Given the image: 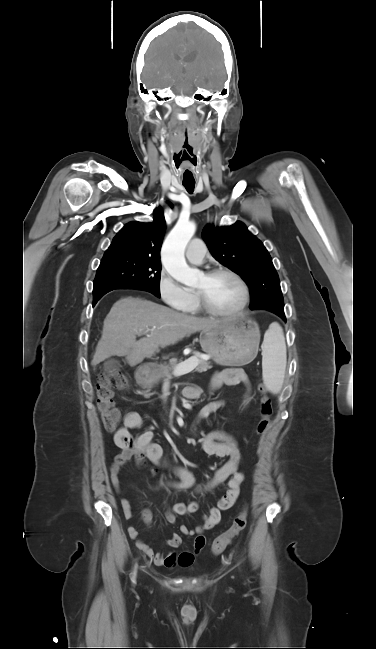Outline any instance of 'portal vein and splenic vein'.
<instances>
[{
  "label": "portal vein and splenic vein",
  "mask_w": 376,
  "mask_h": 649,
  "mask_svg": "<svg viewBox=\"0 0 376 649\" xmlns=\"http://www.w3.org/2000/svg\"><path fill=\"white\" fill-rule=\"evenodd\" d=\"M155 329V327H153ZM152 329V330H153ZM148 331L144 332V334H147ZM205 359H208V357H205ZM198 365V358L197 357H191L188 360L182 362L179 364L173 371L174 375H184L189 372H191L196 366Z\"/></svg>",
  "instance_id": "obj_1"
}]
</instances>
